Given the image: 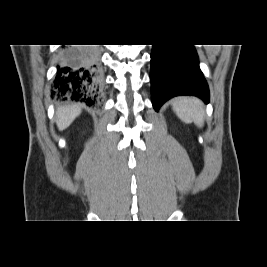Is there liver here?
<instances>
[{"label": "liver", "instance_id": "obj_1", "mask_svg": "<svg viewBox=\"0 0 267 267\" xmlns=\"http://www.w3.org/2000/svg\"><path fill=\"white\" fill-rule=\"evenodd\" d=\"M81 113V108L77 105L58 107L56 111L57 127L60 131L65 130L71 125Z\"/></svg>", "mask_w": 267, "mask_h": 267}]
</instances>
